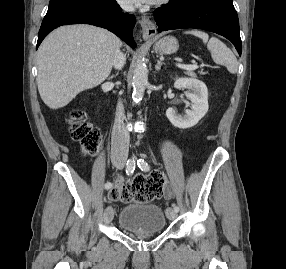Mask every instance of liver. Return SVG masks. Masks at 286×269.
I'll use <instances>...</instances> for the list:
<instances>
[{"label": "liver", "instance_id": "6515ba94", "mask_svg": "<svg viewBox=\"0 0 286 269\" xmlns=\"http://www.w3.org/2000/svg\"><path fill=\"white\" fill-rule=\"evenodd\" d=\"M121 41L91 25L62 26L50 33L37 52V85L51 109L69 104L80 92L109 76Z\"/></svg>", "mask_w": 286, "mask_h": 269}]
</instances>
